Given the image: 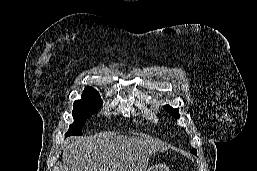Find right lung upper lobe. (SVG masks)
Listing matches in <instances>:
<instances>
[{"mask_svg": "<svg viewBox=\"0 0 257 171\" xmlns=\"http://www.w3.org/2000/svg\"><path fill=\"white\" fill-rule=\"evenodd\" d=\"M86 92H97L95 89H93L92 87L87 86L85 89Z\"/></svg>", "mask_w": 257, "mask_h": 171, "instance_id": "right-lung-upper-lobe-1", "label": "right lung upper lobe"}]
</instances>
